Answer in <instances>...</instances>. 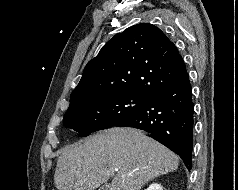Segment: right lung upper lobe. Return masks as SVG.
I'll list each match as a JSON object with an SVG mask.
<instances>
[{
  "label": "right lung upper lobe",
  "mask_w": 238,
  "mask_h": 190,
  "mask_svg": "<svg viewBox=\"0 0 238 190\" xmlns=\"http://www.w3.org/2000/svg\"><path fill=\"white\" fill-rule=\"evenodd\" d=\"M186 72L177 47L156 26L141 23L116 34L86 65L70 106L97 95L153 97Z\"/></svg>",
  "instance_id": "1"
}]
</instances>
